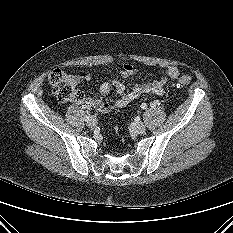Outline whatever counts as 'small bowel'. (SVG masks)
Masks as SVG:
<instances>
[{"label": "small bowel", "instance_id": "obj_1", "mask_svg": "<svg viewBox=\"0 0 233 233\" xmlns=\"http://www.w3.org/2000/svg\"><path fill=\"white\" fill-rule=\"evenodd\" d=\"M136 73V67L132 63H125L121 71V78L126 79ZM180 74V70L176 66H169L165 69L164 75L158 79H155L148 83L137 84L128 90L125 84L121 80L113 79L104 82L100 86V93L102 95L109 94L112 90H115L119 95L118 99L114 104L104 102L96 98H85L80 102L88 109H92L102 113L110 112L114 107L123 108L127 106L130 102L142 95L150 96H160L164 94V86L167 80L176 79ZM92 79V74L87 73L82 76H76L75 82L80 83L82 81H90Z\"/></svg>", "mask_w": 233, "mask_h": 233}]
</instances>
